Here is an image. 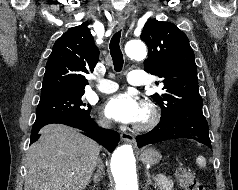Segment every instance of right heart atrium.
I'll return each instance as SVG.
<instances>
[{
  "instance_id": "d8ad5b80",
  "label": "right heart atrium",
  "mask_w": 238,
  "mask_h": 190,
  "mask_svg": "<svg viewBox=\"0 0 238 190\" xmlns=\"http://www.w3.org/2000/svg\"><path fill=\"white\" fill-rule=\"evenodd\" d=\"M99 124H100L102 127H104V128L110 127V121H109L107 118H105V117H101V118L99 119Z\"/></svg>"
}]
</instances>
